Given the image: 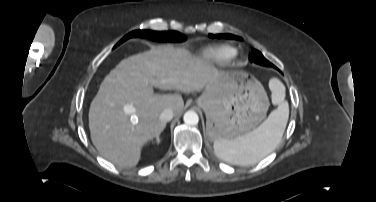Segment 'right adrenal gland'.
<instances>
[{"mask_svg":"<svg viewBox=\"0 0 376 202\" xmlns=\"http://www.w3.org/2000/svg\"><path fill=\"white\" fill-rule=\"evenodd\" d=\"M160 142L159 136L156 137V143L158 144Z\"/></svg>","mask_w":376,"mask_h":202,"instance_id":"right-adrenal-gland-1","label":"right adrenal gland"}]
</instances>
